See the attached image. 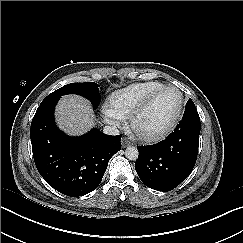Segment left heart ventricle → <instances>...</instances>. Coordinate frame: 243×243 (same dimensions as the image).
<instances>
[{"mask_svg":"<svg viewBox=\"0 0 243 243\" xmlns=\"http://www.w3.org/2000/svg\"><path fill=\"white\" fill-rule=\"evenodd\" d=\"M180 103L176 90H167L158 95L136 121L137 129L144 134L162 131L175 117Z\"/></svg>","mask_w":243,"mask_h":243,"instance_id":"left-heart-ventricle-1","label":"left heart ventricle"}]
</instances>
